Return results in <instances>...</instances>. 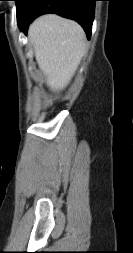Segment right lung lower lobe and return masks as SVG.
<instances>
[{
    "instance_id": "obj_1",
    "label": "right lung lower lobe",
    "mask_w": 133,
    "mask_h": 253,
    "mask_svg": "<svg viewBox=\"0 0 133 253\" xmlns=\"http://www.w3.org/2000/svg\"><path fill=\"white\" fill-rule=\"evenodd\" d=\"M97 0H27L20 17L17 19L20 29L27 33L29 24L38 16L55 13L77 21L85 30L88 39L94 19Z\"/></svg>"
}]
</instances>
